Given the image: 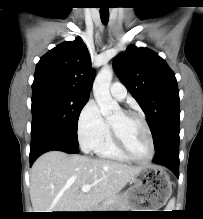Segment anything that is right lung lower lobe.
Wrapping results in <instances>:
<instances>
[{
  "instance_id": "obj_1",
  "label": "right lung lower lobe",
  "mask_w": 203,
  "mask_h": 219,
  "mask_svg": "<svg viewBox=\"0 0 203 219\" xmlns=\"http://www.w3.org/2000/svg\"><path fill=\"white\" fill-rule=\"evenodd\" d=\"M51 150L64 151L70 154L78 153L77 148H72L67 142L50 135V134H38L31 137L30 147V166L33 162L43 153Z\"/></svg>"
}]
</instances>
